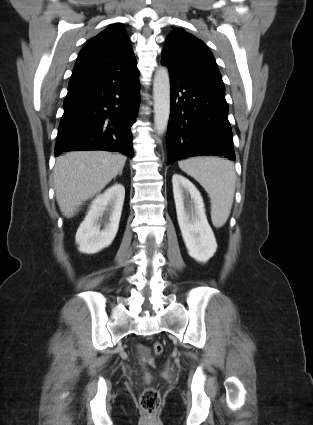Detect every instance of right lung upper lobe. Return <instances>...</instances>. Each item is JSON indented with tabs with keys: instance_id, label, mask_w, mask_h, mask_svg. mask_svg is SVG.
I'll list each match as a JSON object with an SVG mask.
<instances>
[{
	"instance_id": "1",
	"label": "right lung upper lobe",
	"mask_w": 313,
	"mask_h": 425,
	"mask_svg": "<svg viewBox=\"0 0 313 425\" xmlns=\"http://www.w3.org/2000/svg\"><path fill=\"white\" fill-rule=\"evenodd\" d=\"M119 66L132 68L136 60L129 37L120 23L91 38L79 53L74 69Z\"/></svg>"
}]
</instances>
